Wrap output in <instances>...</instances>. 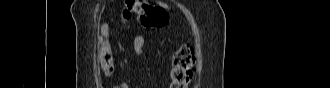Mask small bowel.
<instances>
[{"label":"small bowel","mask_w":330,"mask_h":88,"mask_svg":"<svg viewBox=\"0 0 330 88\" xmlns=\"http://www.w3.org/2000/svg\"><path fill=\"white\" fill-rule=\"evenodd\" d=\"M133 46L136 54L139 57L144 56L145 37L143 35H137L133 40ZM126 83H121L118 88H127Z\"/></svg>","instance_id":"obj_1"}]
</instances>
